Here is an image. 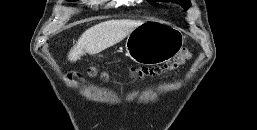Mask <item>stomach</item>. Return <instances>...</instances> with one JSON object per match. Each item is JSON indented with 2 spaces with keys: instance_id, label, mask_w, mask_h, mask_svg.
<instances>
[{
  "instance_id": "obj_1",
  "label": "stomach",
  "mask_w": 257,
  "mask_h": 130,
  "mask_svg": "<svg viewBox=\"0 0 257 130\" xmlns=\"http://www.w3.org/2000/svg\"><path fill=\"white\" fill-rule=\"evenodd\" d=\"M184 38L176 26L160 20H147L128 34L126 53L139 64H161L180 52Z\"/></svg>"
}]
</instances>
